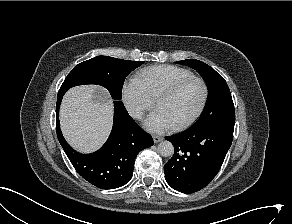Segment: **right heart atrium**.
<instances>
[{"instance_id": "d8ad5b80", "label": "right heart atrium", "mask_w": 292, "mask_h": 224, "mask_svg": "<svg viewBox=\"0 0 292 224\" xmlns=\"http://www.w3.org/2000/svg\"><path fill=\"white\" fill-rule=\"evenodd\" d=\"M122 100L129 114L135 119H141L154 105V100L136 79L124 83Z\"/></svg>"}]
</instances>
